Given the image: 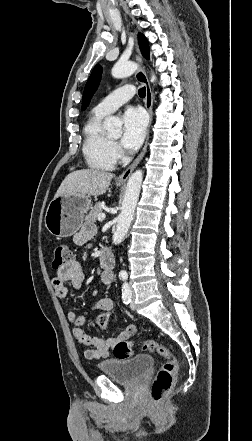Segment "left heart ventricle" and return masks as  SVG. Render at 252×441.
<instances>
[{
  "label": "left heart ventricle",
  "mask_w": 252,
  "mask_h": 441,
  "mask_svg": "<svg viewBox=\"0 0 252 441\" xmlns=\"http://www.w3.org/2000/svg\"><path fill=\"white\" fill-rule=\"evenodd\" d=\"M118 137H119V133H117V134H115V135H112V136H110V138H111L112 140H117V139H118Z\"/></svg>",
  "instance_id": "b2bd125f"
}]
</instances>
